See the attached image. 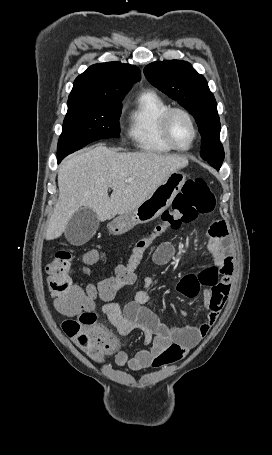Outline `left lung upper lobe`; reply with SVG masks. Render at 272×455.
<instances>
[{
	"label": "left lung upper lobe",
	"mask_w": 272,
	"mask_h": 455,
	"mask_svg": "<svg viewBox=\"0 0 272 455\" xmlns=\"http://www.w3.org/2000/svg\"><path fill=\"white\" fill-rule=\"evenodd\" d=\"M148 81L176 100L195 118L201 138V157L209 164L224 160L217 104L206 79L182 60L156 61L144 68Z\"/></svg>",
	"instance_id": "obj_1"
}]
</instances>
